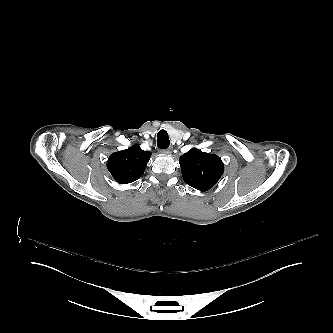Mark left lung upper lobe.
<instances>
[{"label":"left lung upper lobe","instance_id":"1","mask_svg":"<svg viewBox=\"0 0 333 333\" xmlns=\"http://www.w3.org/2000/svg\"><path fill=\"white\" fill-rule=\"evenodd\" d=\"M179 163L185 183L200 191L211 189L224 172L223 162L217 155L196 148L183 154Z\"/></svg>","mask_w":333,"mask_h":333}]
</instances>
